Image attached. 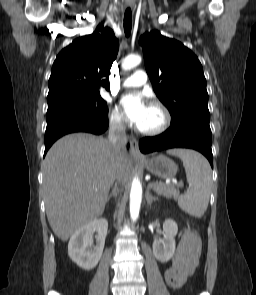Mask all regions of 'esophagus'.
<instances>
[{"instance_id": "34e87169", "label": "esophagus", "mask_w": 256, "mask_h": 295, "mask_svg": "<svg viewBox=\"0 0 256 295\" xmlns=\"http://www.w3.org/2000/svg\"><path fill=\"white\" fill-rule=\"evenodd\" d=\"M126 6L130 7L131 3L127 2ZM130 144H131V155L136 158H143V155L140 153V150L138 147V141L135 138H132Z\"/></svg>"}]
</instances>
